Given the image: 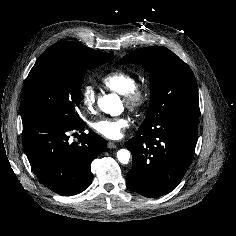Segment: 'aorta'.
<instances>
[{"mask_svg": "<svg viewBox=\"0 0 236 236\" xmlns=\"http://www.w3.org/2000/svg\"><path fill=\"white\" fill-rule=\"evenodd\" d=\"M99 108L111 116H117L123 111V104L117 94L104 95L98 100ZM130 152L127 149H121L117 152V158L120 163L127 164L130 160Z\"/></svg>", "mask_w": 236, "mask_h": 236, "instance_id": "obj_1", "label": "aorta"}]
</instances>
